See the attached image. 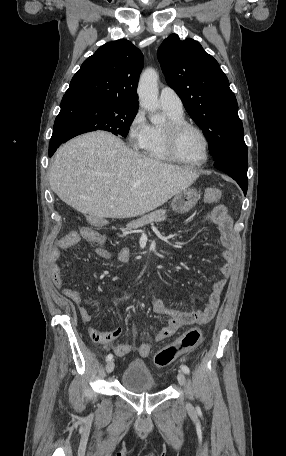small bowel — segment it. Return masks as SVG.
I'll use <instances>...</instances> for the list:
<instances>
[{
	"label": "small bowel",
	"instance_id": "c3829d8e",
	"mask_svg": "<svg viewBox=\"0 0 286 456\" xmlns=\"http://www.w3.org/2000/svg\"><path fill=\"white\" fill-rule=\"evenodd\" d=\"M206 218L219 225L222 237L223 252L222 257L225 263L222 265L220 271L223 276L222 279L217 280L212 285V291L208 296L205 306L197 311H183L169 306L163 300H155L153 302V310L156 314L167 316L169 318L165 327H163L157 334L155 341H162L172 336L176 331L185 325H202L209 322L215 315L219 306L221 294L227 284L228 279L233 273V266L235 262L234 245L235 238L232 231V220L227 213V209L223 205L215 206L207 215ZM83 238L87 242L97 245L95 253L97 256L104 259H117L122 263H129L131 260V251L128 248H120L116 252L103 246L104 237L101 233L88 228L87 233L70 232L62 236L58 241V247L50 252V274L53 283L56 287L60 288L64 296L73 302L79 311L83 321L90 322L92 314L87 306L84 304L81 293L71 287L63 285L60 276V267L58 261L61 256V250L69 248L76 244ZM122 334V328L117 327L109 331H101L96 328H89L90 338L105 347H110L116 356L123 357L131 352V346L128 344L112 343ZM149 348V353L152 349L151 344H142ZM140 346V347H141ZM139 347V348H140ZM149 355V354H148ZM145 357V356H143Z\"/></svg>",
	"mask_w": 286,
	"mask_h": 456
}]
</instances>
